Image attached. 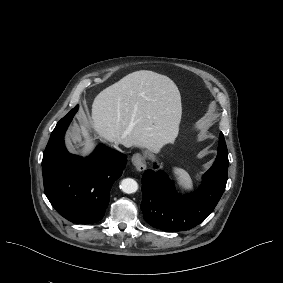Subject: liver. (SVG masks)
<instances>
[{
    "label": "liver",
    "mask_w": 283,
    "mask_h": 283,
    "mask_svg": "<svg viewBox=\"0 0 283 283\" xmlns=\"http://www.w3.org/2000/svg\"><path fill=\"white\" fill-rule=\"evenodd\" d=\"M180 117L175 82L150 70L134 71L95 96L90 116L81 115L79 132L71 133L68 142L81 158L93 153L97 139L157 152L177 138Z\"/></svg>",
    "instance_id": "1"
}]
</instances>
